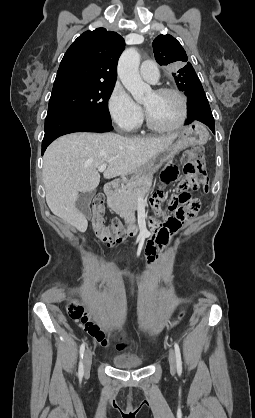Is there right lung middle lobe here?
Listing matches in <instances>:
<instances>
[{
    "label": "right lung middle lobe",
    "mask_w": 255,
    "mask_h": 418,
    "mask_svg": "<svg viewBox=\"0 0 255 418\" xmlns=\"http://www.w3.org/2000/svg\"><path fill=\"white\" fill-rule=\"evenodd\" d=\"M113 84L68 81L53 86L48 111L71 110L92 116L112 124L108 111V100Z\"/></svg>",
    "instance_id": "dd1d6c3e"
}]
</instances>
